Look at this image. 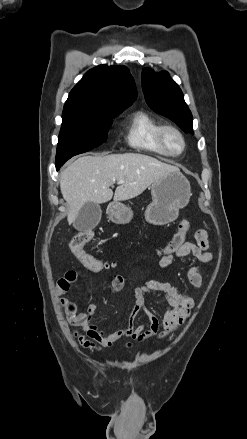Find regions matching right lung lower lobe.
<instances>
[{"instance_id":"98d812e1","label":"right lung lower lobe","mask_w":247,"mask_h":439,"mask_svg":"<svg viewBox=\"0 0 247 439\" xmlns=\"http://www.w3.org/2000/svg\"><path fill=\"white\" fill-rule=\"evenodd\" d=\"M56 168H57V170H59L60 167H56Z\"/></svg>"}]
</instances>
